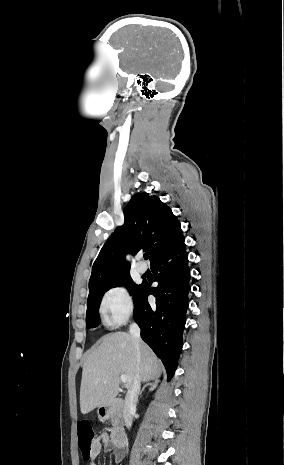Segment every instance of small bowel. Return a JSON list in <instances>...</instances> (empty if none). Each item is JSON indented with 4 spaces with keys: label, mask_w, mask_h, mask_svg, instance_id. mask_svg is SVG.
Listing matches in <instances>:
<instances>
[{
    "label": "small bowel",
    "mask_w": 284,
    "mask_h": 465,
    "mask_svg": "<svg viewBox=\"0 0 284 465\" xmlns=\"http://www.w3.org/2000/svg\"><path fill=\"white\" fill-rule=\"evenodd\" d=\"M103 448L105 450H110V440L107 433H102L96 437L92 447V460L100 454ZM91 465H95V463L91 462Z\"/></svg>",
    "instance_id": "obj_1"
}]
</instances>
